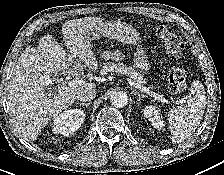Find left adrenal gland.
Masks as SVG:
<instances>
[{
  "instance_id": "obj_1",
  "label": "left adrenal gland",
  "mask_w": 224,
  "mask_h": 175,
  "mask_svg": "<svg viewBox=\"0 0 224 175\" xmlns=\"http://www.w3.org/2000/svg\"><path fill=\"white\" fill-rule=\"evenodd\" d=\"M132 93H134V95H138V100H139V101H141L142 98L147 97V95H141V94L138 93V92H132Z\"/></svg>"
}]
</instances>
